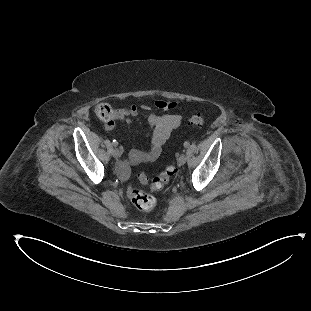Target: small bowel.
Masks as SVG:
<instances>
[{
  "instance_id": "obj_1",
  "label": "small bowel",
  "mask_w": 311,
  "mask_h": 311,
  "mask_svg": "<svg viewBox=\"0 0 311 311\" xmlns=\"http://www.w3.org/2000/svg\"><path fill=\"white\" fill-rule=\"evenodd\" d=\"M176 107L175 102L158 100L153 104L142 103L140 106L127 104L118 110L120 120L129 124L131 120L139 115L142 111L147 114L149 132L147 137L150 138V149L142 151L131 149L127 152L126 161L132 165L153 162L158 159L162 149L170 137L171 132L177 128L181 122V116L171 113ZM159 109L166 112L164 115H156L153 109ZM113 129V128H108Z\"/></svg>"
}]
</instances>
